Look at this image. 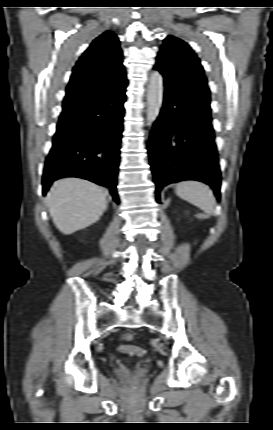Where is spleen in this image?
I'll use <instances>...</instances> for the list:
<instances>
[{
  "label": "spleen",
  "mask_w": 273,
  "mask_h": 430,
  "mask_svg": "<svg viewBox=\"0 0 273 430\" xmlns=\"http://www.w3.org/2000/svg\"><path fill=\"white\" fill-rule=\"evenodd\" d=\"M176 194L183 200L194 204L206 214H211L215 206V199L211 189L204 183L186 180L176 185Z\"/></svg>",
  "instance_id": "spleen-1"
}]
</instances>
